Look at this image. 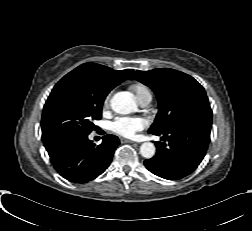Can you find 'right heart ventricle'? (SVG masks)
<instances>
[{
	"label": "right heart ventricle",
	"instance_id": "obj_1",
	"mask_svg": "<svg viewBox=\"0 0 252 231\" xmlns=\"http://www.w3.org/2000/svg\"><path fill=\"white\" fill-rule=\"evenodd\" d=\"M131 89L138 100L146 95H151L150 90L142 84H135L131 87Z\"/></svg>",
	"mask_w": 252,
	"mask_h": 231
}]
</instances>
